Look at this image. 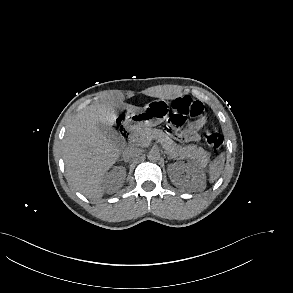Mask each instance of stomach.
I'll use <instances>...</instances> for the list:
<instances>
[{
	"label": "stomach",
	"instance_id": "0dacf381",
	"mask_svg": "<svg viewBox=\"0 0 293 293\" xmlns=\"http://www.w3.org/2000/svg\"><path fill=\"white\" fill-rule=\"evenodd\" d=\"M169 102L158 99L148 103L143 110L131 114L127 118V125L137 127H153L161 124L169 114Z\"/></svg>",
	"mask_w": 293,
	"mask_h": 293
}]
</instances>
